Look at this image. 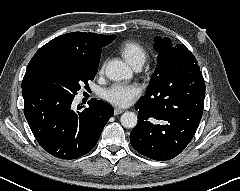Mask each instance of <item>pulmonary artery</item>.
Returning a JSON list of instances; mask_svg holds the SVG:
<instances>
[{
    "mask_svg": "<svg viewBox=\"0 0 240 191\" xmlns=\"http://www.w3.org/2000/svg\"><path fill=\"white\" fill-rule=\"evenodd\" d=\"M142 65H143V63H136V64L133 65V67H134L135 70H140Z\"/></svg>",
    "mask_w": 240,
    "mask_h": 191,
    "instance_id": "obj_1",
    "label": "pulmonary artery"
}]
</instances>
